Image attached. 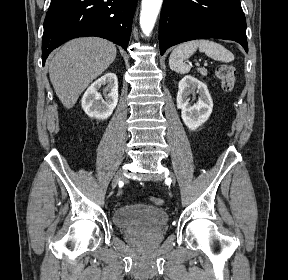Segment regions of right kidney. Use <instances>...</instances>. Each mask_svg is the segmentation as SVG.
Listing matches in <instances>:
<instances>
[{
    "instance_id": "obj_1",
    "label": "right kidney",
    "mask_w": 288,
    "mask_h": 280,
    "mask_svg": "<svg viewBox=\"0 0 288 280\" xmlns=\"http://www.w3.org/2000/svg\"><path fill=\"white\" fill-rule=\"evenodd\" d=\"M103 89L104 99L98 92ZM82 108L92 118L105 120L110 117L118 103V80L114 73H106L86 90L82 97Z\"/></svg>"
}]
</instances>
